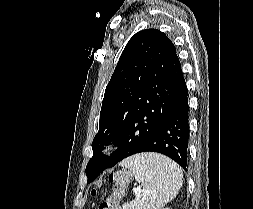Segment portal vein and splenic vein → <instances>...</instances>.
<instances>
[{
  "label": "portal vein and splenic vein",
  "instance_id": "obj_1",
  "mask_svg": "<svg viewBox=\"0 0 253 209\" xmlns=\"http://www.w3.org/2000/svg\"><path fill=\"white\" fill-rule=\"evenodd\" d=\"M140 192H141V189H140V188H137V189L134 191L135 194H138V193H140Z\"/></svg>",
  "mask_w": 253,
  "mask_h": 209
}]
</instances>
